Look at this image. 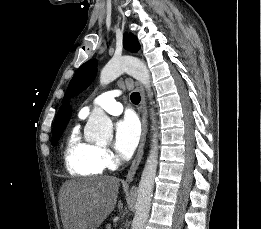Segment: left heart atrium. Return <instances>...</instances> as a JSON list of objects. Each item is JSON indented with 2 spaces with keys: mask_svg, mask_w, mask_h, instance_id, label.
Instances as JSON below:
<instances>
[{
  "mask_svg": "<svg viewBox=\"0 0 261 229\" xmlns=\"http://www.w3.org/2000/svg\"><path fill=\"white\" fill-rule=\"evenodd\" d=\"M141 138V125L134 116L120 120L115 128L114 147L124 158H129L137 148Z\"/></svg>",
  "mask_w": 261,
  "mask_h": 229,
  "instance_id": "39dd6f15",
  "label": "left heart atrium"
}]
</instances>
